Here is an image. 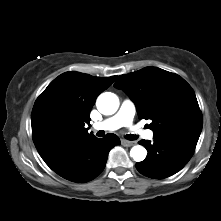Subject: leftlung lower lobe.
<instances>
[{
    "label": "left lung lower lobe",
    "mask_w": 221,
    "mask_h": 221,
    "mask_svg": "<svg viewBox=\"0 0 221 221\" xmlns=\"http://www.w3.org/2000/svg\"><path fill=\"white\" fill-rule=\"evenodd\" d=\"M200 135L176 134L154 138V142L141 140L147 151L144 161L136 163L137 170L150 178L162 179L169 177L179 170L192 157Z\"/></svg>",
    "instance_id": "0a47b994"
}]
</instances>
